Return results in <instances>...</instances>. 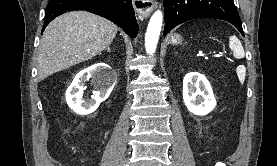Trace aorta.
<instances>
[{"label": "aorta", "mask_w": 277, "mask_h": 166, "mask_svg": "<svg viewBox=\"0 0 277 166\" xmlns=\"http://www.w3.org/2000/svg\"><path fill=\"white\" fill-rule=\"evenodd\" d=\"M163 15L161 11H156L148 24V28L145 35V49L148 54H154L156 51L161 27H162Z\"/></svg>", "instance_id": "obj_1"}]
</instances>
